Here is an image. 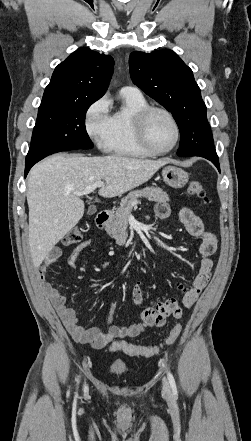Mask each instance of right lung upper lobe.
<instances>
[{
    "mask_svg": "<svg viewBox=\"0 0 251 441\" xmlns=\"http://www.w3.org/2000/svg\"><path fill=\"white\" fill-rule=\"evenodd\" d=\"M113 67L111 56L79 48L55 68L41 103L101 98L108 88Z\"/></svg>",
    "mask_w": 251,
    "mask_h": 441,
    "instance_id": "1",
    "label": "right lung upper lobe"
}]
</instances>
